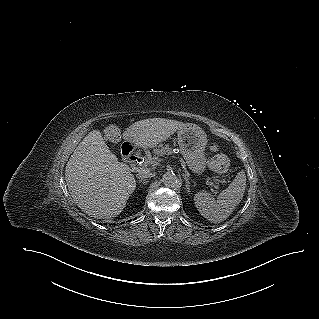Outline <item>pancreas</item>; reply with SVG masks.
Instances as JSON below:
<instances>
[{"mask_svg": "<svg viewBox=\"0 0 319 319\" xmlns=\"http://www.w3.org/2000/svg\"><path fill=\"white\" fill-rule=\"evenodd\" d=\"M154 154L157 156L169 155L172 153V148L168 144H159L153 150Z\"/></svg>", "mask_w": 319, "mask_h": 319, "instance_id": "obj_1", "label": "pancreas"}]
</instances>
